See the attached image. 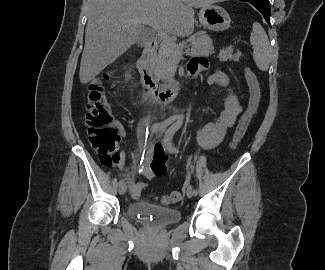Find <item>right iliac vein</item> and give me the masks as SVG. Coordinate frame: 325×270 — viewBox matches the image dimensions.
I'll return each instance as SVG.
<instances>
[{
	"label": "right iliac vein",
	"mask_w": 325,
	"mask_h": 270,
	"mask_svg": "<svg viewBox=\"0 0 325 270\" xmlns=\"http://www.w3.org/2000/svg\"><path fill=\"white\" fill-rule=\"evenodd\" d=\"M126 190H127V186L124 183V184L119 186L118 192H119L120 195H123L126 192Z\"/></svg>",
	"instance_id": "63e3f726"
}]
</instances>
